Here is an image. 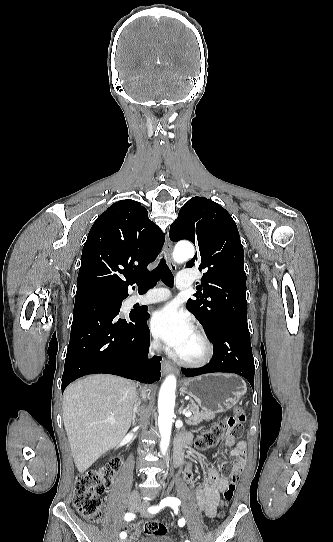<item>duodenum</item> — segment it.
<instances>
[{
    "mask_svg": "<svg viewBox=\"0 0 333 542\" xmlns=\"http://www.w3.org/2000/svg\"><path fill=\"white\" fill-rule=\"evenodd\" d=\"M193 436L190 433L180 434L175 439L174 461L175 465L179 467L183 462L184 448L186 444L192 442Z\"/></svg>",
    "mask_w": 333,
    "mask_h": 542,
    "instance_id": "410a0bca",
    "label": "duodenum"
}]
</instances>
